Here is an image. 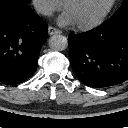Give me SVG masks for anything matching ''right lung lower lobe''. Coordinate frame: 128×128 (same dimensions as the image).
Segmentation results:
<instances>
[{
    "mask_svg": "<svg viewBox=\"0 0 128 128\" xmlns=\"http://www.w3.org/2000/svg\"><path fill=\"white\" fill-rule=\"evenodd\" d=\"M46 23L17 1H0V82H24L37 69L40 48L47 38Z\"/></svg>",
    "mask_w": 128,
    "mask_h": 128,
    "instance_id": "1",
    "label": "right lung lower lobe"
}]
</instances>
